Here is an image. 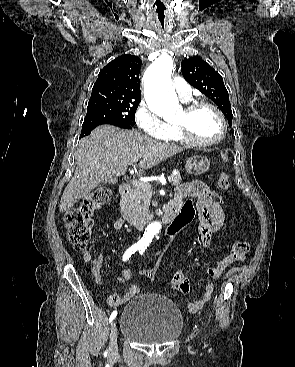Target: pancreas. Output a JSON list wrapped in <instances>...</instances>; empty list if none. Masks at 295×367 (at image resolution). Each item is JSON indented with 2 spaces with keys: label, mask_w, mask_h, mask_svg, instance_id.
Listing matches in <instances>:
<instances>
[{
  "label": "pancreas",
  "mask_w": 295,
  "mask_h": 367,
  "mask_svg": "<svg viewBox=\"0 0 295 367\" xmlns=\"http://www.w3.org/2000/svg\"><path fill=\"white\" fill-rule=\"evenodd\" d=\"M171 176L173 177L172 185L177 186L181 183L180 174ZM151 196L152 193L148 183H143L142 186L134 185L133 189L125 196L124 203L137 213L145 212L150 205Z\"/></svg>",
  "instance_id": "pancreas-1"
}]
</instances>
